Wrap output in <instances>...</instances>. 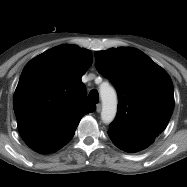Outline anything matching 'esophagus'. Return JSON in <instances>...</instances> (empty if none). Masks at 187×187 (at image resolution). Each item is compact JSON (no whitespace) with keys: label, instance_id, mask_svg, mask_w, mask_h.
Instances as JSON below:
<instances>
[{"label":"esophagus","instance_id":"esophagus-1","mask_svg":"<svg viewBox=\"0 0 187 187\" xmlns=\"http://www.w3.org/2000/svg\"><path fill=\"white\" fill-rule=\"evenodd\" d=\"M101 109H102L101 104H97V105H96V111H97V112H100Z\"/></svg>","mask_w":187,"mask_h":187}]
</instances>
